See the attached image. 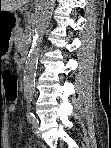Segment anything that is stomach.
Instances as JSON below:
<instances>
[{"instance_id":"stomach-1","label":"stomach","mask_w":111,"mask_h":148,"mask_svg":"<svg viewBox=\"0 0 111 148\" xmlns=\"http://www.w3.org/2000/svg\"><path fill=\"white\" fill-rule=\"evenodd\" d=\"M19 21L15 11H0V59H6L11 52Z\"/></svg>"}]
</instances>
